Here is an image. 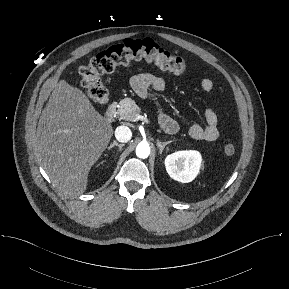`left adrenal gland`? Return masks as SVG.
Returning a JSON list of instances; mask_svg holds the SVG:
<instances>
[{
    "label": "left adrenal gland",
    "instance_id": "left-adrenal-gland-1",
    "mask_svg": "<svg viewBox=\"0 0 289 289\" xmlns=\"http://www.w3.org/2000/svg\"><path fill=\"white\" fill-rule=\"evenodd\" d=\"M170 143H171V141L160 142L159 140H157V147L159 148V153L162 154L164 148Z\"/></svg>",
    "mask_w": 289,
    "mask_h": 289
}]
</instances>
